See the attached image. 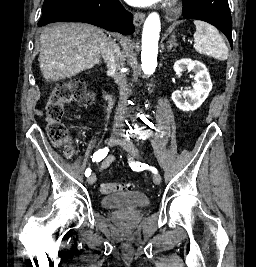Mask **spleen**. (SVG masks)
<instances>
[{
    "mask_svg": "<svg viewBox=\"0 0 256 267\" xmlns=\"http://www.w3.org/2000/svg\"><path fill=\"white\" fill-rule=\"evenodd\" d=\"M193 24L196 26V32L193 36L196 52L225 62L229 50L217 28L210 26L207 22H200V20H194Z\"/></svg>",
    "mask_w": 256,
    "mask_h": 267,
    "instance_id": "3e777b00",
    "label": "spleen"
}]
</instances>
